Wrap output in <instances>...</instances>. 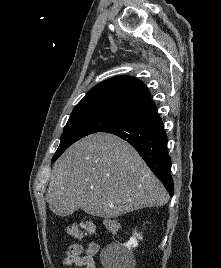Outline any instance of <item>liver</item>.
I'll return each mask as SVG.
<instances>
[{
  "label": "liver",
  "instance_id": "obj_1",
  "mask_svg": "<svg viewBox=\"0 0 221 268\" xmlns=\"http://www.w3.org/2000/svg\"><path fill=\"white\" fill-rule=\"evenodd\" d=\"M169 200L162 183L136 150L121 138L89 135L70 146L57 160L46 201L59 216L85 213L116 218Z\"/></svg>",
  "mask_w": 221,
  "mask_h": 268
}]
</instances>
